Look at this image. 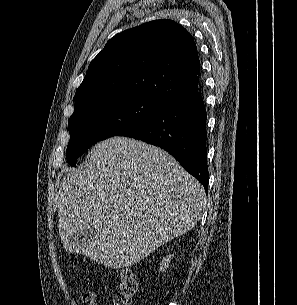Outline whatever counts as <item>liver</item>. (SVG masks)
I'll list each match as a JSON object with an SVG mask.
<instances>
[{
    "label": "liver",
    "instance_id": "liver-1",
    "mask_svg": "<svg viewBox=\"0 0 297 305\" xmlns=\"http://www.w3.org/2000/svg\"><path fill=\"white\" fill-rule=\"evenodd\" d=\"M205 204L204 188L168 152L115 136L92 148L84 170L63 177L59 235L69 253L129 267L193 228ZM91 226L95 240L81 250L70 245Z\"/></svg>",
    "mask_w": 297,
    "mask_h": 305
}]
</instances>
